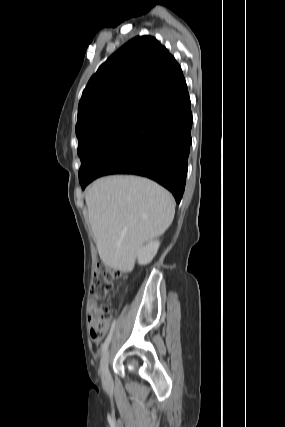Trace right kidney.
I'll use <instances>...</instances> for the list:
<instances>
[{"instance_id":"1","label":"right kidney","mask_w":285,"mask_h":427,"mask_svg":"<svg viewBox=\"0 0 285 427\" xmlns=\"http://www.w3.org/2000/svg\"><path fill=\"white\" fill-rule=\"evenodd\" d=\"M159 246H160V242L156 240V241H150L148 242V244L141 247L137 252L138 263L140 265L149 264L157 254Z\"/></svg>"}]
</instances>
